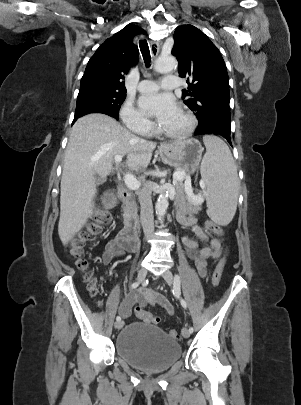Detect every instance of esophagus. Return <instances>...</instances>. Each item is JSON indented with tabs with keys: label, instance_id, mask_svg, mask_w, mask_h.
I'll return each instance as SVG.
<instances>
[{
	"label": "esophagus",
	"instance_id": "obj_1",
	"mask_svg": "<svg viewBox=\"0 0 301 405\" xmlns=\"http://www.w3.org/2000/svg\"><path fill=\"white\" fill-rule=\"evenodd\" d=\"M150 48H151V53H152L153 57L154 58L157 57L158 53H159V49H160L159 43L150 41ZM163 145H165V144H162V146Z\"/></svg>",
	"mask_w": 301,
	"mask_h": 405
}]
</instances>
